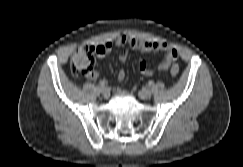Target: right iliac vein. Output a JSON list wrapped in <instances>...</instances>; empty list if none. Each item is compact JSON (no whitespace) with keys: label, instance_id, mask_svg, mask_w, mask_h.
I'll use <instances>...</instances> for the list:
<instances>
[{"label":"right iliac vein","instance_id":"right-iliac-vein-1","mask_svg":"<svg viewBox=\"0 0 243 167\" xmlns=\"http://www.w3.org/2000/svg\"><path fill=\"white\" fill-rule=\"evenodd\" d=\"M100 92L104 98H108L110 95V90L107 87H101Z\"/></svg>","mask_w":243,"mask_h":167}]
</instances>
